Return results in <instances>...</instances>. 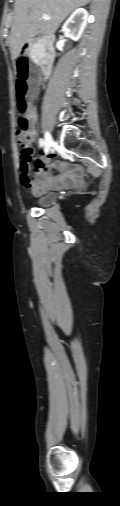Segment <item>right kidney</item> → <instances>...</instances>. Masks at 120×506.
Returning a JSON list of instances; mask_svg holds the SVG:
<instances>
[{
    "label": "right kidney",
    "mask_w": 120,
    "mask_h": 506,
    "mask_svg": "<svg viewBox=\"0 0 120 506\" xmlns=\"http://www.w3.org/2000/svg\"><path fill=\"white\" fill-rule=\"evenodd\" d=\"M88 16L84 8L76 9L62 27L64 35L74 41L79 40L87 25Z\"/></svg>",
    "instance_id": "1"
}]
</instances>
